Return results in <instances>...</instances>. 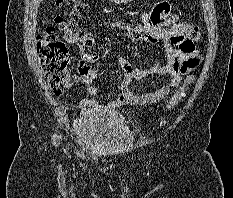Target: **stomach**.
Wrapping results in <instances>:
<instances>
[{
	"instance_id": "0dacf381",
	"label": "stomach",
	"mask_w": 233,
	"mask_h": 198,
	"mask_svg": "<svg viewBox=\"0 0 233 198\" xmlns=\"http://www.w3.org/2000/svg\"><path fill=\"white\" fill-rule=\"evenodd\" d=\"M109 1L114 4H125L131 2L132 0H109Z\"/></svg>"
}]
</instances>
